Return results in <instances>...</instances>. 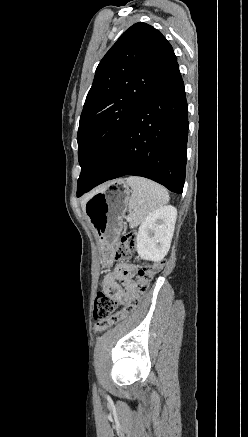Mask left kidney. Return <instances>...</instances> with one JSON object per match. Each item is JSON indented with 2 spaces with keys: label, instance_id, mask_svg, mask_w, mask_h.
<instances>
[{
  "label": "left kidney",
  "instance_id": "left-kidney-1",
  "mask_svg": "<svg viewBox=\"0 0 248 437\" xmlns=\"http://www.w3.org/2000/svg\"><path fill=\"white\" fill-rule=\"evenodd\" d=\"M177 210L164 206L150 213L139 227L137 252L145 260L161 261L169 251L175 228Z\"/></svg>",
  "mask_w": 248,
  "mask_h": 437
}]
</instances>
